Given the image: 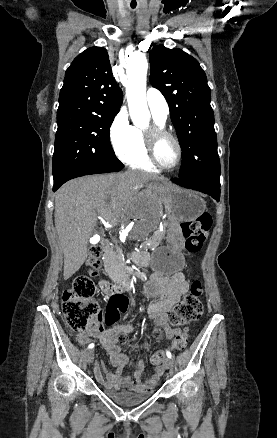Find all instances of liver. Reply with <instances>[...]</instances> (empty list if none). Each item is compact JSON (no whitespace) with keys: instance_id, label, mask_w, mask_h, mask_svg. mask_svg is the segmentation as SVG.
<instances>
[{"instance_id":"obj_1","label":"liver","mask_w":277,"mask_h":438,"mask_svg":"<svg viewBox=\"0 0 277 438\" xmlns=\"http://www.w3.org/2000/svg\"><path fill=\"white\" fill-rule=\"evenodd\" d=\"M149 180L164 178L147 172H124L107 176H84L64 184L55 196L54 222L64 254V280L78 272L87 258V244L97 226V216L112 218L115 210L135 205V192Z\"/></svg>"}]
</instances>
